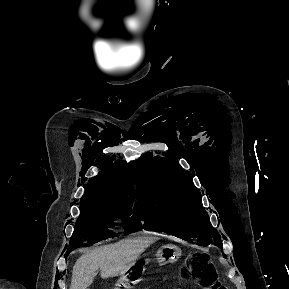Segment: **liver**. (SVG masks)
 Returning <instances> with one entry per match:
<instances>
[{"label":"liver","mask_w":289,"mask_h":289,"mask_svg":"<svg viewBox=\"0 0 289 289\" xmlns=\"http://www.w3.org/2000/svg\"><path fill=\"white\" fill-rule=\"evenodd\" d=\"M154 238L124 239L82 255L72 271L70 289H87L99 268L103 279L127 272Z\"/></svg>","instance_id":"obj_1"}]
</instances>
